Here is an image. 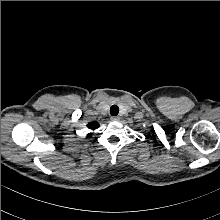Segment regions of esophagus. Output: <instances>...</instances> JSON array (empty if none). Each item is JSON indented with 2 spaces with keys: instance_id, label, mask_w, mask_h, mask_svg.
Listing matches in <instances>:
<instances>
[{
  "instance_id": "esophagus-1",
  "label": "esophagus",
  "mask_w": 220,
  "mask_h": 220,
  "mask_svg": "<svg viewBox=\"0 0 220 220\" xmlns=\"http://www.w3.org/2000/svg\"><path fill=\"white\" fill-rule=\"evenodd\" d=\"M119 119H120V118H119L118 116H113V117H111V120H112V121H119Z\"/></svg>"
}]
</instances>
